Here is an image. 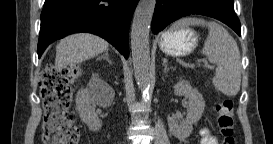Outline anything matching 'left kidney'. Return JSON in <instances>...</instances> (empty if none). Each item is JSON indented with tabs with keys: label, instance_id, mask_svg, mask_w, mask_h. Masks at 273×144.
Segmentation results:
<instances>
[{
	"label": "left kidney",
	"instance_id": "1",
	"mask_svg": "<svg viewBox=\"0 0 273 144\" xmlns=\"http://www.w3.org/2000/svg\"><path fill=\"white\" fill-rule=\"evenodd\" d=\"M174 93L177 96H186L189 99L186 119L171 117L169 120L170 132L179 140H185L192 133L193 125L200 120L205 102L199 91L186 80H180L174 86Z\"/></svg>",
	"mask_w": 273,
	"mask_h": 144
}]
</instances>
